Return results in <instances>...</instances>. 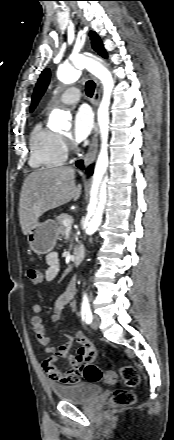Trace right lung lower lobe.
Returning a JSON list of instances; mask_svg holds the SVG:
<instances>
[{"label": "right lung lower lobe", "mask_w": 174, "mask_h": 440, "mask_svg": "<svg viewBox=\"0 0 174 440\" xmlns=\"http://www.w3.org/2000/svg\"><path fill=\"white\" fill-rule=\"evenodd\" d=\"M76 165H77V167L83 169V161L82 160L77 161ZM87 172H88L89 175H92V172H93V166L92 165L87 168Z\"/></svg>", "instance_id": "right-lung-lower-lobe-1"}]
</instances>
